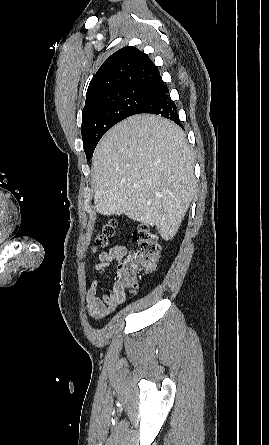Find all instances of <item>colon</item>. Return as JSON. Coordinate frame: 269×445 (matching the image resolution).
<instances>
[{
  "label": "colon",
  "instance_id": "1",
  "mask_svg": "<svg viewBox=\"0 0 269 445\" xmlns=\"http://www.w3.org/2000/svg\"><path fill=\"white\" fill-rule=\"evenodd\" d=\"M115 228V220L105 224L96 237L95 248L104 247L114 234ZM134 240L137 242L138 249L124 259L116 271L115 288L120 291L135 287L138 271L154 269L160 258V243L156 234L149 227H139L134 232Z\"/></svg>",
  "mask_w": 269,
  "mask_h": 445
}]
</instances>
